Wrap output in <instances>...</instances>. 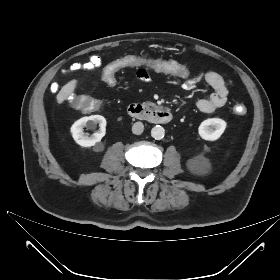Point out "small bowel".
<instances>
[{"label": "small bowel", "instance_id": "small-bowel-1", "mask_svg": "<svg viewBox=\"0 0 280 280\" xmlns=\"http://www.w3.org/2000/svg\"><path fill=\"white\" fill-rule=\"evenodd\" d=\"M78 66L80 67V69H84L87 71H97L102 68V62L99 57L92 56L86 63L82 65L79 64ZM149 71L153 70L137 68V79L139 81H149ZM201 79H203L211 88H213L214 91L208 97L199 99L196 103V107L203 113H212L224 106L227 102L230 82L222 74L215 71H207L199 75L192 76L186 82L175 81L172 79L171 82L173 84L179 85L183 90L189 91L194 89ZM113 81L115 82V79Z\"/></svg>", "mask_w": 280, "mask_h": 280}]
</instances>
